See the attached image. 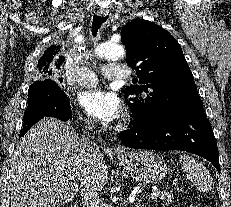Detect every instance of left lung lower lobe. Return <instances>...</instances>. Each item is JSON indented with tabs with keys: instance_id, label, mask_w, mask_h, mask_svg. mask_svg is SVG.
Here are the masks:
<instances>
[{
	"instance_id": "obj_1",
	"label": "left lung lower lobe",
	"mask_w": 231,
	"mask_h": 207,
	"mask_svg": "<svg viewBox=\"0 0 231 207\" xmlns=\"http://www.w3.org/2000/svg\"><path fill=\"white\" fill-rule=\"evenodd\" d=\"M132 128L119 134L130 148L182 150L210 161L220 172L219 153L203 106L176 112L157 121L132 119Z\"/></svg>"
}]
</instances>
